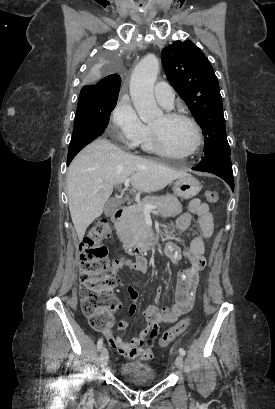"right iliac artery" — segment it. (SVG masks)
I'll use <instances>...</instances> for the list:
<instances>
[{"mask_svg": "<svg viewBox=\"0 0 275 409\" xmlns=\"http://www.w3.org/2000/svg\"><path fill=\"white\" fill-rule=\"evenodd\" d=\"M102 347H103V339L100 338V339L98 340V342H97V349H98V351H100V350L102 349Z\"/></svg>", "mask_w": 275, "mask_h": 409, "instance_id": "1", "label": "right iliac artery"}]
</instances>
